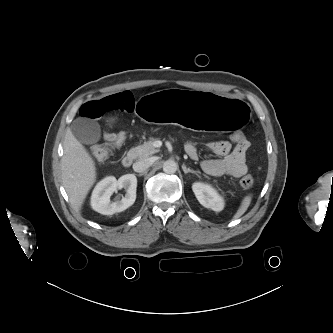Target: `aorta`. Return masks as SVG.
<instances>
[{
	"mask_svg": "<svg viewBox=\"0 0 333 333\" xmlns=\"http://www.w3.org/2000/svg\"><path fill=\"white\" fill-rule=\"evenodd\" d=\"M163 171L167 174H173L177 171V164L173 160H167L163 164Z\"/></svg>",
	"mask_w": 333,
	"mask_h": 333,
	"instance_id": "762f6f07",
	"label": "aorta"
}]
</instances>
